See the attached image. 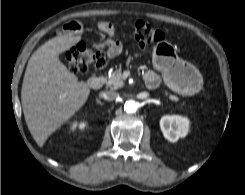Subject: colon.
Masks as SVG:
<instances>
[{
    "instance_id": "obj_1",
    "label": "colon",
    "mask_w": 245,
    "mask_h": 195,
    "mask_svg": "<svg viewBox=\"0 0 245 195\" xmlns=\"http://www.w3.org/2000/svg\"><path fill=\"white\" fill-rule=\"evenodd\" d=\"M135 39L142 47L149 46L160 42L163 39V33L152 28L143 21L135 24ZM108 49L102 46L89 47L81 44L66 53L68 68L74 74H84L93 65L102 66L105 63Z\"/></svg>"
}]
</instances>
